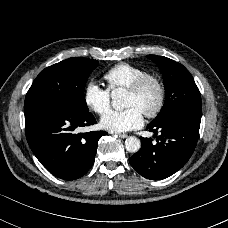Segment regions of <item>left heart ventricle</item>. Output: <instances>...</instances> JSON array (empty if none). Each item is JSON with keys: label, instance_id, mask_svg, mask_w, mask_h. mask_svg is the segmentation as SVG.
Wrapping results in <instances>:
<instances>
[{"label": "left heart ventricle", "instance_id": "obj_1", "mask_svg": "<svg viewBox=\"0 0 228 228\" xmlns=\"http://www.w3.org/2000/svg\"><path fill=\"white\" fill-rule=\"evenodd\" d=\"M159 92L153 82L147 83L139 94L127 92L126 107H136L141 112L151 109L158 101Z\"/></svg>", "mask_w": 228, "mask_h": 228}]
</instances>
